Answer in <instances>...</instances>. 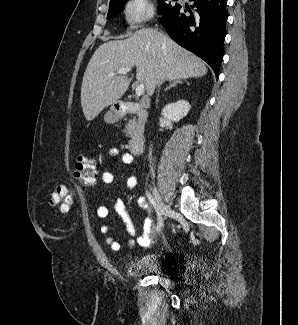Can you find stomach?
I'll return each instance as SVG.
<instances>
[{
	"mask_svg": "<svg viewBox=\"0 0 298 325\" xmlns=\"http://www.w3.org/2000/svg\"><path fill=\"white\" fill-rule=\"evenodd\" d=\"M119 118V112L116 110L115 106H111L110 110L104 114L105 122H117Z\"/></svg>",
	"mask_w": 298,
	"mask_h": 325,
	"instance_id": "1",
	"label": "stomach"
}]
</instances>
